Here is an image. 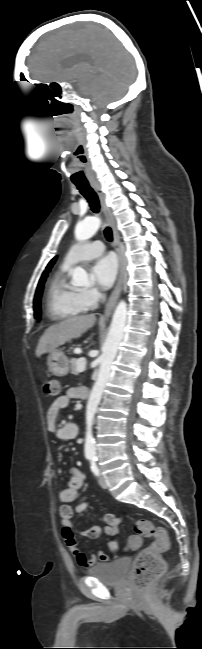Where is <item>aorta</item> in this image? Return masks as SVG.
Returning <instances> with one entry per match:
<instances>
[{"mask_svg": "<svg viewBox=\"0 0 202 649\" xmlns=\"http://www.w3.org/2000/svg\"><path fill=\"white\" fill-rule=\"evenodd\" d=\"M100 219L97 217H88L77 223L75 227V238L79 241L90 239L99 229ZM89 280L88 273L82 267H75L72 271V282L75 285L87 283ZM127 320V304L121 300L115 308L109 333L103 345L102 354L99 357L100 367L97 379L92 388L86 406V436H85V453L95 454V440L93 438L92 426L94 415L100 403L103 391L108 382L111 365L117 354L118 347L124 335Z\"/></svg>", "mask_w": 202, "mask_h": 649, "instance_id": "aorta-1", "label": "aorta"}]
</instances>
